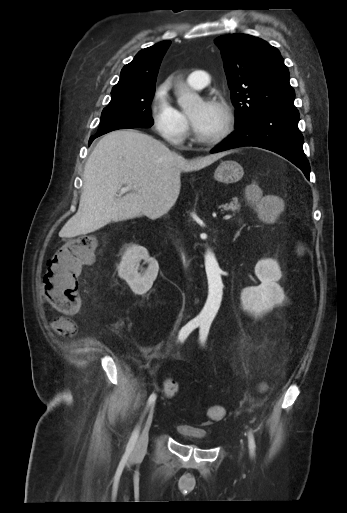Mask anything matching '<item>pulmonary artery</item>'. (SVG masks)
I'll list each match as a JSON object with an SVG mask.
<instances>
[{
	"label": "pulmonary artery",
	"instance_id": "obj_1",
	"mask_svg": "<svg viewBox=\"0 0 347 513\" xmlns=\"http://www.w3.org/2000/svg\"><path fill=\"white\" fill-rule=\"evenodd\" d=\"M210 76L206 71L196 70L189 74L188 82L195 89H202L209 84Z\"/></svg>",
	"mask_w": 347,
	"mask_h": 513
}]
</instances>
